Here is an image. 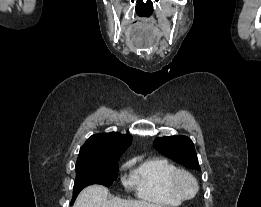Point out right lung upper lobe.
<instances>
[{
  "instance_id": "cb5924a9",
  "label": "right lung upper lobe",
  "mask_w": 261,
  "mask_h": 207,
  "mask_svg": "<svg viewBox=\"0 0 261 207\" xmlns=\"http://www.w3.org/2000/svg\"><path fill=\"white\" fill-rule=\"evenodd\" d=\"M132 136L118 132L92 135L80 148L76 165L107 163L120 157L130 146Z\"/></svg>"
}]
</instances>
